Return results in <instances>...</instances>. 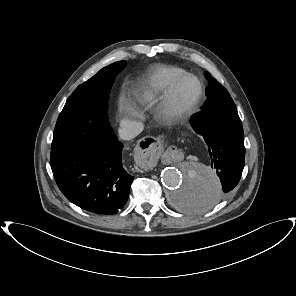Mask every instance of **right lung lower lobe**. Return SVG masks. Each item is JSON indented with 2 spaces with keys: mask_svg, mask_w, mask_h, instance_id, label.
Here are the masks:
<instances>
[{
  "mask_svg": "<svg viewBox=\"0 0 296 296\" xmlns=\"http://www.w3.org/2000/svg\"><path fill=\"white\" fill-rule=\"evenodd\" d=\"M123 145L113 131L75 148L51 151L50 165L64 196L96 214H116L128 200L133 176L122 166Z\"/></svg>",
  "mask_w": 296,
  "mask_h": 296,
  "instance_id": "1",
  "label": "right lung lower lobe"
}]
</instances>
